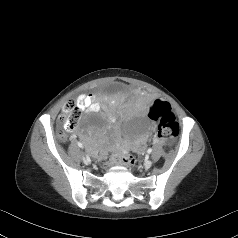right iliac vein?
<instances>
[{"instance_id": "right-iliac-vein-1", "label": "right iliac vein", "mask_w": 238, "mask_h": 238, "mask_svg": "<svg viewBox=\"0 0 238 238\" xmlns=\"http://www.w3.org/2000/svg\"><path fill=\"white\" fill-rule=\"evenodd\" d=\"M82 161H83L84 165L89 166V163L86 162L85 158H82Z\"/></svg>"}]
</instances>
